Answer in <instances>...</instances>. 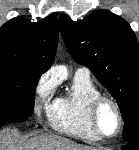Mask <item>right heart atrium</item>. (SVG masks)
I'll list each match as a JSON object with an SVG mask.
<instances>
[{"label":"right heart atrium","instance_id":"d8ad5b80","mask_svg":"<svg viewBox=\"0 0 139 150\" xmlns=\"http://www.w3.org/2000/svg\"><path fill=\"white\" fill-rule=\"evenodd\" d=\"M36 91H37V102L38 103L45 102L51 94L52 83L46 77H42L38 81Z\"/></svg>","mask_w":139,"mask_h":150}]
</instances>
